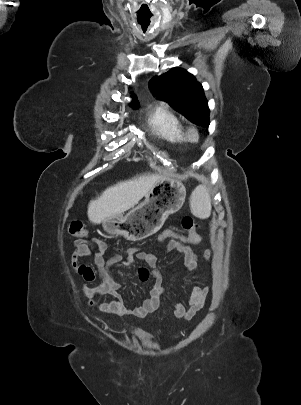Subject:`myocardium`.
<instances>
[{"label":"myocardium","instance_id":"obj_1","mask_svg":"<svg viewBox=\"0 0 301 405\" xmlns=\"http://www.w3.org/2000/svg\"><path fill=\"white\" fill-rule=\"evenodd\" d=\"M186 137L191 142H196L199 139L198 130L191 126L186 130Z\"/></svg>","mask_w":301,"mask_h":405}]
</instances>
